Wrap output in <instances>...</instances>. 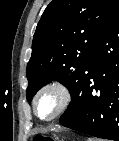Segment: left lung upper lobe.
I'll return each mask as SVG.
<instances>
[{
    "mask_svg": "<svg viewBox=\"0 0 119 141\" xmlns=\"http://www.w3.org/2000/svg\"><path fill=\"white\" fill-rule=\"evenodd\" d=\"M119 11V0H53L36 27L27 64V100L52 80L78 89L99 36Z\"/></svg>",
    "mask_w": 119,
    "mask_h": 141,
    "instance_id": "obj_1",
    "label": "left lung upper lobe"
}]
</instances>
